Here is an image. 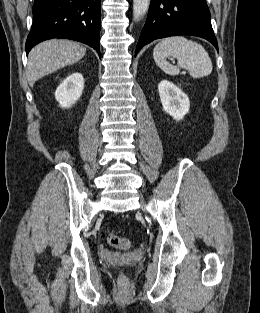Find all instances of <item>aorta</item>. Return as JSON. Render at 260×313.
<instances>
[{
    "mask_svg": "<svg viewBox=\"0 0 260 313\" xmlns=\"http://www.w3.org/2000/svg\"><path fill=\"white\" fill-rule=\"evenodd\" d=\"M150 0H133V17L139 21L147 12Z\"/></svg>",
    "mask_w": 260,
    "mask_h": 313,
    "instance_id": "1",
    "label": "aorta"
}]
</instances>
